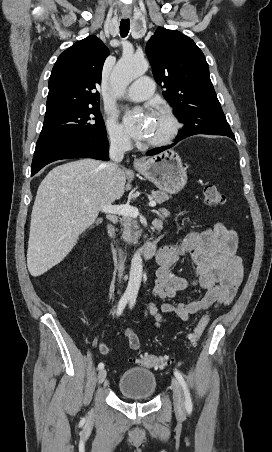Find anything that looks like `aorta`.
I'll return each instance as SVG.
<instances>
[{
    "mask_svg": "<svg viewBox=\"0 0 272 452\" xmlns=\"http://www.w3.org/2000/svg\"><path fill=\"white\" fill-rule=\"evenodd\" d=\"M148 70V63L144 58L134 55H123L118 61L111 77L114 91L121 94L126 87L136 78L143 75ZM142 258L139 253H135L131 260L129 281L126 293L132 296L138 294L142 280Z\"/></svg>",
    "mask_w": 272,
    "mask_h": 452,
    "instance_id": "aorta-1",
    "label": "aorta"
}]
</instances>
